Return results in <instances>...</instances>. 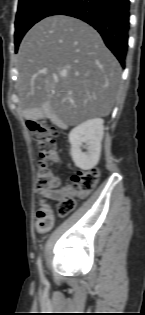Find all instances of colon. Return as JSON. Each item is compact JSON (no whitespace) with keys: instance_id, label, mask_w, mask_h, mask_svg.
<instances>
[{"instance_id":"obj_1","label":"colon","mask_w":145,"mask_h":315,"mask_svg":"<svg viewBox=\"0 0 145 315\" xmlns=\"http://www.w3.org/2000/svg\"><path fill=\"white\" fill-rule=\"evenodd\" d=\"M28 127L33 133L39 148V170L37 187L41 190L56 189L59 186L58 177L49 168V163L57 162L56 130L44 122L28 121ZM99 177L96 168L80 171L72 177V195H65L57 203L59 215H66L73 211L76 205L74 195L83 196L95 187Z\"/></svg>"}]
</instances>
